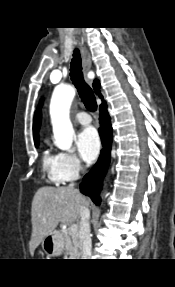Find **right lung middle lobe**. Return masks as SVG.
Wrapping results in <instances>:
<instances>
[{
	"instance_id": "obj_1",
	"label": "right lung middle lobe",
	"mask_w": 175,
	"mask_h": 287,
	"mask_svg": "<svg viewBox=\"0 0 175 287\" xmlns=\"http://www.w3.org/2000/svg\"><path fill=\"white\" fill-rule=\"evenodd\" d=\"M35 146H36V147L38 146V142H37V143H35Z\"/></svg>"
}]
</instances>
